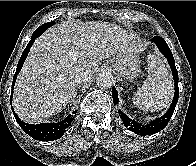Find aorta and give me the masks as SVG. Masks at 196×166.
Here are the masks:
<instances>
[{
	"instance_id": "aorta-1",
	"label": "aorta",
	"mask_w": 196,
	"mask_h": 166,
	"mask_svg": "<svg viewBox=\"0 0 196 166\" xmlns=\"http://www.w3.org/2000/svg\"><path fill=\"white\" fill-rule=\"evenodd\" d=\"M113 75L110 72H102L96 78V84L99 88H110L113 85Z\"/></svg>"
}]
</instances>
